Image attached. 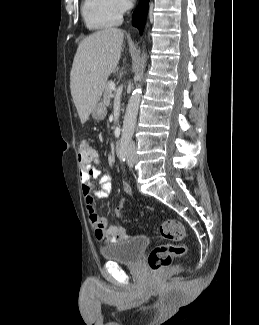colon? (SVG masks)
<instances>
[{
	"instance_id": "colon-1",
	"label": "colon",
	"mask_w": 259,
	"mask_h": 325,
	"mask_svg": "<svg viewBox=\"0 0 259 325\" xmlns=\"http://www.w3.org/2000/svg\"><path fill=\"white\" fill-rule=\"evenodd\" d=\"M94 148L87 139H82L78 144L77 155L80 162H88L94 156ZM123 202H120L115 211L123 213ZM160 235L173 243L162 244L154 247L148 256V265L152 271H158L168 266L173 258L181 257L186 253V246L182 242L186 238L184 225L176 219H168L159 227Z\"/></svg>"
}]
</instances>
